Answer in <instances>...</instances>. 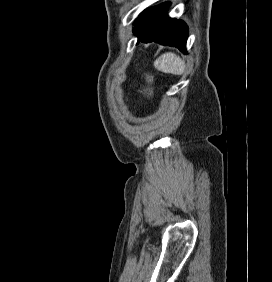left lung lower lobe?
I'll return each instance as SVG.
<instances>
[{
	"instance_id": "left-lung-lower-lobe-1",
	"label": "left lung lower lobe",
	"mask_w": 272,
	"mask_h": 282,
	"mask_svg": "<svg viewBox=\"0 0 272 282\" xmlns=\"http://www.w3.org/2000/svg\"><path fill=\"white\" fill-rule=\"evenodd\" d=\"M169 3L144 10L134 22L133 32L138 34V42H157L175 46L186 53L188 28L181 20L167 16Z\"/></svg>"
}]
</instances>
